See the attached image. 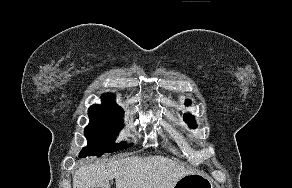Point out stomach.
I'll list each match as a JSON object with an SVG mask.
<instances>
[{
	"label": "stomach",
	"mask_w": 292,
	"mask_h": 188,
	"mask_svg": "<svg viewBox=\"0 0 292 188\" xmlns=\"http://www.w3.org/2000/svg\"><path fill=\"white\" fill-rule=\"evenodd\" d=\"M173 188H214V183L206 174L194 172L181 177Z\"/></svg>",
	"instance_id": "1"
}]
</instances>
